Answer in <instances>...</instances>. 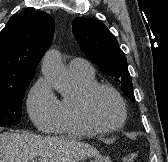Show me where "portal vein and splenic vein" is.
<instances>
[{
	"instance_id": "1",
	"label": "portal vein and splenic vein",
	"mask_w": 168,
	"mask_h": 162,
	"mask_svg": "<svg viewBox=\"0 0 168 162\" xmlns=\"http://www.w3.org/2000/svg\"><path fill=\"white\" fill-rule=\"evenodd\" d=\"M31 162H36L35 160H32Z\"/></svg>"
}]
</instances>
